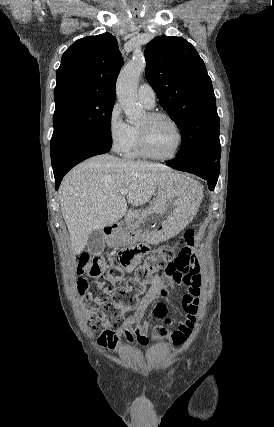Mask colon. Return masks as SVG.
<instances>
[{
  "instance_id": "5ec220e1",
  "label": "colon",
  "mask_w": 274,
  "mask_h": 427,
  "mask_svg": "<svg viewBox=\"0 0 274 427\" xmlns=\"http://www.w3.org/2000/svg\"><path fill=\"white\" fill-rule=\"evenodd\" d=\"M178 245H165L151 254H149L143 265L135 270V275L125 286L115 288V285L121 281L120 273L127 263H135L139 258L147 254V247L144 244L129 246L126 250L118 249L116 252L107 253L102 256L103 261L107 264L104 275L96 288H100V293L92 296L86 302V321L91 332L97 336L105 326L107 319L112 320L120 316L118 306L121 305L128 309L136 306L137 295L145 291L146 284L152 277L163 272L175 261ZM76 258L77 274L79 276L95 277L100 272V257L91 258L89 251L82 249L78 251ZM73 287L75 291L82 293L86 291L88 284L86 280L79 278L75 280ZM115 292V302L106 303L107 295ZM102 306V309H100ZM181 363L187 362L186 356L180 357Z\"/></svg>"
}]
</instances>
